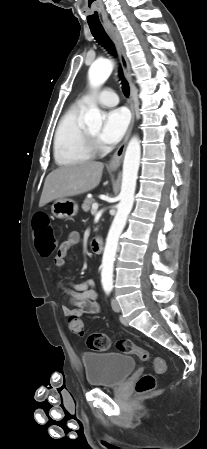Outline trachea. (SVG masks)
<instances>
[{"label":"trachea","mask_w":207,"mask_h":449,"mask_svg":"<svg viewBox=\"0 0 207 449\" xmlns=\"http://www.w3.org/2000/svg\"><path fill=\"white\" fill-rule=\"evenodd\" d=\"M90 30L92 35L94 36L95 40L103 46L105 49H107L110 53L115 54V47L107 33L105 32L103 26H90ZM119 75L122 80V91L126 97L129 96L130 88L127 80L123 76V71L120 68Z\"/></svg>","instance_id":"1"}]
</instances>
